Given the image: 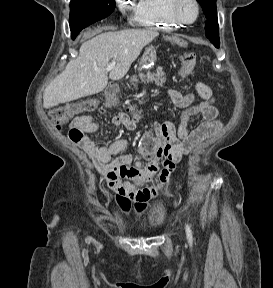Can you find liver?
<instances>
[{"mask_svg":"<svg viewBox=\"0 0 273 288\" xmlns=\"http://www.w3.org/2000/svg\"><path fill=\"white\" fill-rule=\"evenodd\" d=\"M158 35L153 29H129L108 31L86 41L81 45L78 57L71 60L44 90V108L103 91L108 84V75L103 69L111 60H116V65L109 78L122 79L142 49Z\"/></svg>","mask_w":273,"mask_h":288,"instance_id":"obj_1","label":"liver"}]
</instances>
